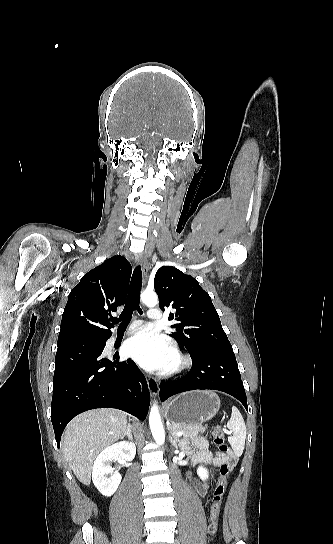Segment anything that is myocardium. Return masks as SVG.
Segmentation results:
<instances>
[{
  "mask_svg": "<svg viewBox=\"0 0 333 544\" xmlns=\"http://www.w3.org/2000/svg\"><path fill=\"white\" fill-rule=\"evenodd\" d=\"M191 365V359L184 354L179 348L173 347L172 348V363L167 366L164 373L168 376L176 375L187 368H189Z\"/></svg>",
  "mask_w": 333,
  "mask_h": 544,
  "instance_id": "1",
  "label": "myocardium"
}]
</instances>
